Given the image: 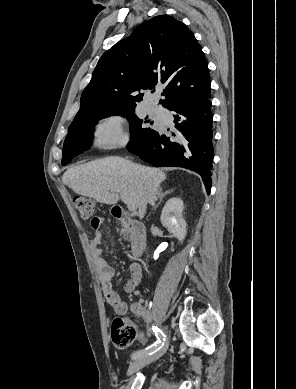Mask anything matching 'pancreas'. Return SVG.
Wrapping results in <instances>:
<instances>
[{
    "instance_id": "pancreas-1",
    "label": "pancreas",
    "mask_w": 296,
    "mask_h": 389,
    "mask_svg": "<svg viewBox=\"0 0 296 389\" xmlns=\"http://www.w3.org/2000/svg\"><path fill=\"white\" fill-rule=\"evenodd\" d=\"M128 234V231L126 229H121L120 235H126Z\"/></svg>"
}]
</instances>
